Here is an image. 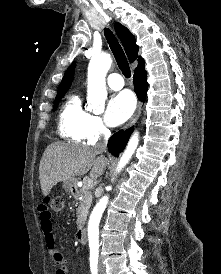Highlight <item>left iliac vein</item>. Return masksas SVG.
Returning <instances> with one entry per match:
<instances>
[{
    "label": "left iliac vein",
    "mask_w": 221,
    "mask_h": 274,
    "mask_svg": "<svg viewBox=\"0 0 221 274\" xmlns=\"http://www.w3.org/2000/svg\"><path fill=\"white\" fill-rule=\"evenodd\" d=\"M99 274H105L104 267L101 262H99Z\"/></svg>",
    "instance_id": "4c4485c4"
}]
</instances>
